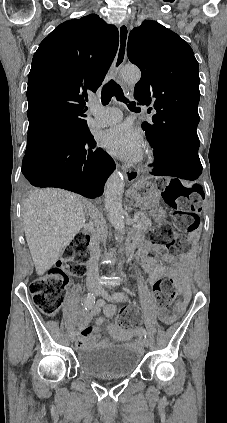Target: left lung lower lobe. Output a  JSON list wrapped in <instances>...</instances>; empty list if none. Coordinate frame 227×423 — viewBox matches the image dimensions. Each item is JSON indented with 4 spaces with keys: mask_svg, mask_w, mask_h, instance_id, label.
I'll return each instance as SVG.
<instances>
[{
    "mask_svg": "<svg viewBox=\"0 0 227 423\" xmlns=\"http://www.w3.org/2000/svg\"><path fill=\"white\" fill-rule=\"evenodd\" d=\"M199 122V121H198ZM198 122L183 120L166 129L155 130L147 138L155 150L152 174L196 180L202 173L198 156Z\"/></svg>",
    "mask_w": 227,
    "mask_h": 423,
    "instance_id": "1",
    "label": "left lung lower lobe"
}]
</instances>
